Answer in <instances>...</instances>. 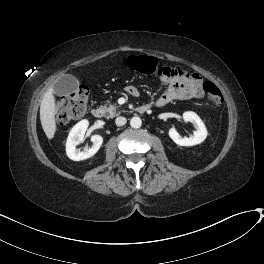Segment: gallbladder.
I'll use <instances>...</instances> for the list:
<instances>
[{
	"instance_id": "bac80fb5",
	"label": "gallbladder",
	"mask_w": 264,
	"mask_h": 264,
	"mask_svg": "<svg viewBox=\"0 0 264 264\" xmlns=\"http://www.w3.org/2000/svg\"><path fill=\"white\" fill-rule=\"evenodd\" d=\"M79 81L73 75H65L60 78L54 85L55 92L58 94H68L78 89Z\"/></svg>"
}]
</instances>
